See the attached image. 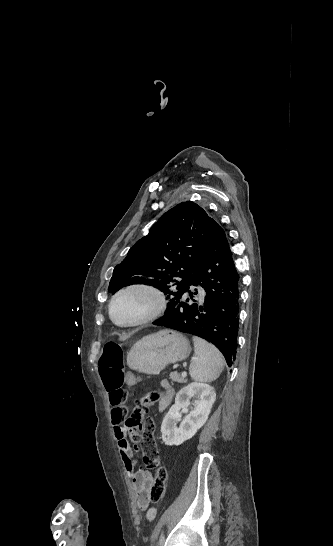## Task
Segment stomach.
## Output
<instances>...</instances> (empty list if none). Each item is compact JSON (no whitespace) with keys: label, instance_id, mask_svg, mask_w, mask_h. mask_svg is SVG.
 I'll use <instances>...</instances> for the list:
<instances>
[{"label":"stomach","instance_id":"obj_1","mask_svg":"<svg viewBox=\"0 0 333 546\" xmlns=\"http://www.w3.org/2000/svg\"><path fill=\"white\" fill-rule=\"evenodd\" d=\"M189 351L184 335L165 329L137 341L127 355V365L132 370L158 375L169 364L184 360Z\"/></svg>","mask_w":333,"mask_h":546}]
</instances>
